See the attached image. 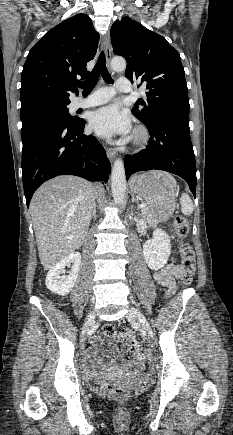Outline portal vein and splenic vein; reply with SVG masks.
Listing matches in <instances>:
<instances>
[{
  "label": "portal vein and splenic vein",
  "instance_id": "obj_1",
  "mask_svg": "<svg viewBox=\"0 0 233 435\" xmlns=\"http://www.w3.org/2000/svg\"><path fill=\"white\" fill-rule=\"evenodd\" d=\"M145 207H146L145 204H141V205H140V208H141V209H144ZM70 238H72V236H70Z\"/></svg>",
  "mask_w": 233,
  "mask_h": 435
}]
</instances>
